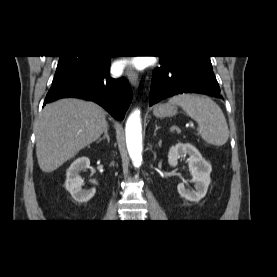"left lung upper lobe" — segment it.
<instances>
[{"mask_svg": "<svg viewBox=\"0 0 277 277\" xmlns=\"http://www.w3.org/2000/svg\"><path fill=\"white\" fill-rule=\"evenodd\" d=\"M160 57H163V56H160ZM186 57L209 59V56H191V55H188Z\"/></svg>", "mask_w": 277, "mask_h": 277, "instance_id": "5c2ea615", "label": "left lung upper lobe"}]
</instances>
